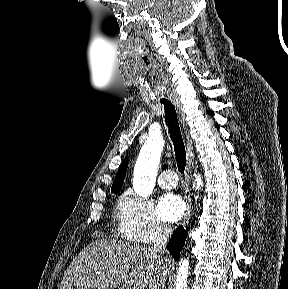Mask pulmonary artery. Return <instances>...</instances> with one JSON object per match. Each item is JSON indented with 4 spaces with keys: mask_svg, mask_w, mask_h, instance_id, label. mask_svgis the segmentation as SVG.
Returning a JSON list of instances; mask_svg holds the SVG:
<instances>
[{
    "mask_svg": "<svg viewBox=\"0 0 288 289\" xmlns=\"http://www.w3.org/2000/svg\"><path fill=\"white\" fill-rule=\"evenodd\" d=\"M178 182L177 175L172 170H164L158 179V184L164 189H172L176 187Z\"/></svg>",
    "mask_w": 288,
    "mask_h": 289,
    "instance_id": "1",
    "label": "pulmonary artery"
}]
</instances>
